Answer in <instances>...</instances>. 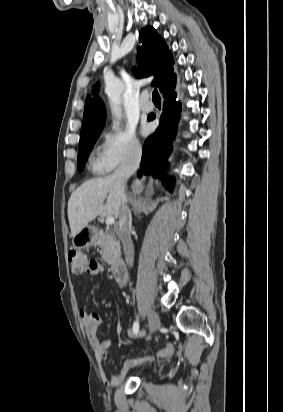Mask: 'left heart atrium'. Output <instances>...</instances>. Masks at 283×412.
<instances>
[{"instance_id":"left-heart-atrium-1","label":"left heart atrium","mask_w":283,"mask_h":412,"mask_svg":"<svg viewBox=\"0 0 283 412\" xmlns=\"http://www.w3.org/2000/svg\"><path fill=\"white\" fill-rule=\"evenodd\" d=\"M143 134H148L150 132V127L148 125H143L142 127Z\"/></svg>"}]
</instances>
